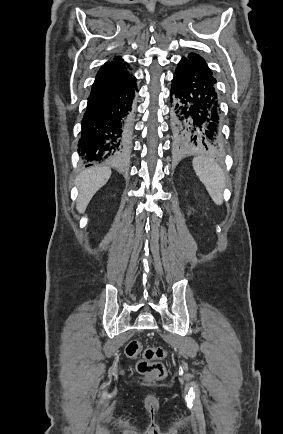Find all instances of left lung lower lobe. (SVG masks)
Returning <instances> with one entry per match:
<instances>
[{
	"label": "left lung lower lobe",
	"instance_id": "0a47b994",
	"mask_svg": "<svg viewBox=\"0 0 283 434\" xmlns=\"http://www.w3.org/2000/svg\"><path fill=\"white\" fill-rule=\"evenodd\" d=\"M212 71L187 58L176 67L170 91L174 143L221 153L220 103Z\"/></svg>",
	"mask_w": 283,
	"mask_h": 434
}]
</instances>
